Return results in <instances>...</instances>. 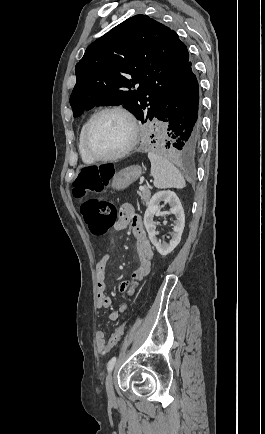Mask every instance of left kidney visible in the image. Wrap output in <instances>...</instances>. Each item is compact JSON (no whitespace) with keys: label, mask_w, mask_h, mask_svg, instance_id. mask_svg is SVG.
Returning <instances> with one entry per match:
<instances>
[{"label":"left kidney","mask_w":265,"mask_h":434,"mask_svg":"<svg viewBox=\"0 0 265 434\" xmlns=\"http://www.w3.org/2000/svg\"><path fill=\"white\" fill-rule=\"evenodd\" d=\"M160 202H164V204H169L171 208L168 214H174L175 218H177L172 228V240H170L169 244H166V242H163V244H161V242H158L156 238V226L155 222H153V218L155 214H157V212H160ZM144 226L148 232L150 242H152L153 246H155L157 252H159L161 256H167V254H171V252L175 250L176 246H178L181 240V236L183 234L185 226L184 210L175 192H170V190H166V192H157V194H154V196H152L148 204V208L144 214Z\"/></svg>","instance_id":"1"}]
</instances>
